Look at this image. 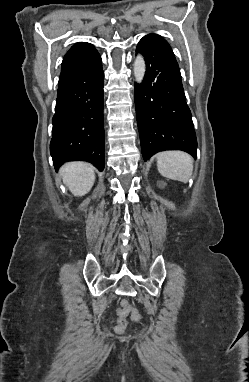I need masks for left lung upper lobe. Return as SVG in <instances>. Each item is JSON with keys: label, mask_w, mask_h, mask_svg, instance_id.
<instances>
[{"label": "left lung upper lobe", "mask_w": 249, "mask_h": 382, "mask_svg": "<svg viewBox=\"0 0 249 382\" xmlns=\"http://www.w3.org/2000/svg\"><path fill=\"white\" fill-rule=\"evenodd\" d=\"M145 37L147 38H150L152 39L153 41L159 43L160 45H162L164 48L168 49L172 54H173V51L170 47V45L167 43V41L161 37L160 35H157V34H149V35H146ZM174 55V54H173Z\"/></svg>", "instance_id": "5c2ea615"}]
</instances>
